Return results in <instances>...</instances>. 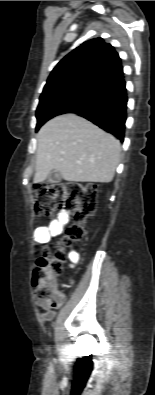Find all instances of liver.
Returning a JSON list of instances; mask_svg holds the SVG:
<instances>
[{
	"label": "liver",
	"mask_w": 155,
	"mask_h": 395,
	"mask_svg": "<svg viewBox=\"0 0 155 395\" xmlns=\"http://www.w3.org/2000/svg\"><path fill=\"white\" fill-rule=\"evenodd\" d=\"M36 138L34 183L43 182L52 170L66 181H112L120 142L90 121L75 114L57 116L40 128Z\"/></svg>",
	"instance_id": "obj_1"
}]
</instances>
